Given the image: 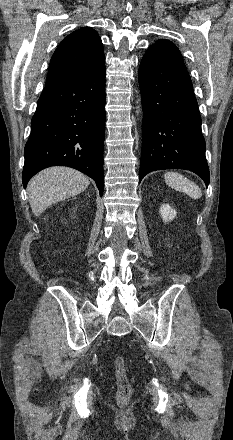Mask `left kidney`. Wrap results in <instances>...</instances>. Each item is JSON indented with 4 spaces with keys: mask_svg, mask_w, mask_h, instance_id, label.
<instances>
[{
    "mask_svg": "<svg viewBox=\"0 0 233 440\" xmlns=\"http://www.w3.org/2000/svg\"><path fill=\"white\" fill-rule=\"evenodd\" d=\"M176 211L169 204H164L160 208V214L163 221L166 223L167 221H171L176 216Z\"/></svg>",
    "mask_w": 233,
    "mask_h": 440,
    "instance_id": "left-kidney-1",
    "label": "left kidney"
}]
</instances>
